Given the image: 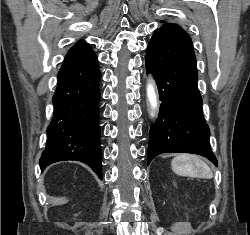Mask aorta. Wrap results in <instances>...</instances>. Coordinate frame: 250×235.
<instances>
[{
	"label": "aorta",
	"mask_w": 250,
	"mask_h": 235,
	"mask_svg": "<svg viewBox=\"0 0 250 235\" xmlns=\"http://www.w3.org/2000/svg\"><path fill=\"white\" fill-rule=\"evenodd\" d=\"M147 96L151 107L155 109L157 107V98L154 90V85L152 82H149L147 85ZM151 115L153 116V113Z\"/></svg>",
	"instance_id": "aorta-1"
}]
</instances>
